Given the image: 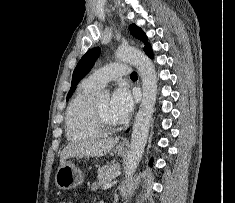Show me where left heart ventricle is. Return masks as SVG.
Wrapping results in <instances>:
<instances>
[{
    "mask_svg": "<svg viewBox=\"0 0 235 203\" xmlns=\"http://www.w3.org/2000/svg\"><path fill=\"white\" fill-rule=\"evenodd\" d=\"M109 103L110 101L108 99H104V100H100L96 102L102 116L109 124L111 125L119 124V121L113 117V115L111 114L109 110Z\"/></svg>",
    "mask_w": 235,
    "mask_h": 203,
    "instance_id": "b2bd125f",
    "label": "left heart ventricle"
}]
</instances>
